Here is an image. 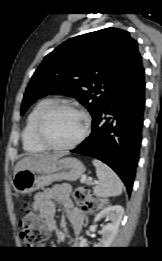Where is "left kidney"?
<instances>
[{"mask_svg":"<svg viewBox=\"0 0 162 261\" xmlns=\"http://www.w3.org/2000/svg\"><path fill=\"white\" fill-rule=\"evenodd\" d=\"M123 214H124L123 207L120 205H115L103 209L101 212H99L96 215L94 222H97L102 218H106L107 220L111 221V223L105 225L103 229L100 231L102 238L99 240L98 243L94 245L96 248H106L110 246V244L115 238V235L117 234V230L119 228L120 221L122 220ZM86 246H87L86 239H81L79 243V247H86Z\"/></svg>","mask_w":162,"mask_h":261,"instance_id":"5707ae66","label":"left kidney"}]
</instances>
